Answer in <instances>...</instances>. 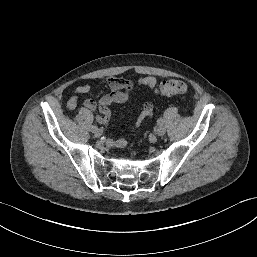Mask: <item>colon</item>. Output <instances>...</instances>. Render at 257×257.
<instances>
[{"instance_id": "5ec220e1", "label": "colon", "mask_w": 257, "mask_h": 257, "mask_svg": "<svg viewBox=\"0 0 257 257\" xmlns=\"http://www.w3.org/2000/svg\"><path fill=\"white\" fill-rule=\"evenodd\" d=\"M187 90V85L178 79L165 80L156 89L162 96L186 95Z\"/></svg>"}]
</instances>
